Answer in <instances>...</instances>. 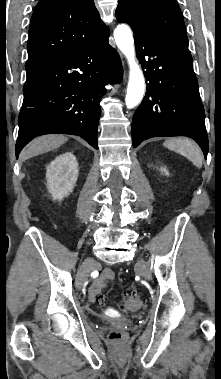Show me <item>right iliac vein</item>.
Wrapping results in <instances>:
<instances>
[{"label": "right iliac vein", "instance_id": "right-iliac-vein-1", "mask_svg": "<svg viewBox=\"0 0 221 379\" xmlns=\"http://www.w3.org/2000/svg\"><path fill=\"white\" fill-rule=\"evenodd\" d=\"M93 265H94V260L92 258H87L85 262L83 263L76 279V285L78 288H81L84 282L89 277V274L93 269Z\"/></svg>", "mask_w": 221, "mask_h": 379}]
</instances>
